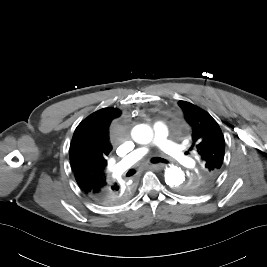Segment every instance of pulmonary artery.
Here are the masks:
<instances>
[{
    "label": "pulmonary artery",
    "mask_w": 267,
    "mask_h": 267,
    "mask_svg": "<svg viewBox=\"0 0 267 267\" xmlns=\"http://www.w3.org/2000/svg\"><path fill=\"white\" fill-rule=\"evenodd\" d=\"M154 133L156 145L160 147L166 154L180 163L186 164L188 162V159L183 154L181 147L176 143L167 140L168 128L164 123H156L154 125ZM148 152V146L136 148L114 166V171L116 173L124 172L141 158L146 156Z\"/></svg>",
    "instance_id": "pulmonary-artery-1"
}]
</instances>
